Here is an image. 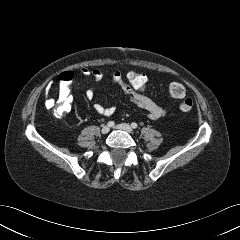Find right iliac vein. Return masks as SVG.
I'll return each mask as SVG.
<instances>
[{
  "mask_svg": "<svg viewBox=\"0 0 240 240\" xmlns=\"http://www.w3.org/2000/svg\"><path fill=\"white\" fill-rule=\"evenodd\" d=\"M109 131H110V128L108 126H103L102 129H101V132L103 134H107Z\"/></svg>",
  "mask_w": 240,
  "mask_h": 240,
  "instance_id": "63e3f726",
  "label": "right iliac vein"
}]
</instances>
